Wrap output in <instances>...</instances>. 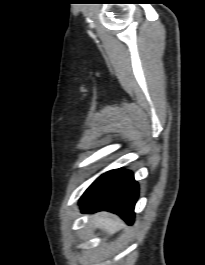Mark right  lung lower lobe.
<instances>
[{"label":"right lung lower lobe","mask_w":205,"mask_h":265,"mask_svg":"<svg viewBox=\"0 0 205 265\" xmlns=\"http://www.w3.org/2000/svg\"><path fill=\"white\" fill-rule=\"evenodd\" d=\"M138 191L132 172L111 170L98 177L84 192L79 201L80 209L84 213L110 211L132 224Z\"/></svg>","instance_id":"98d812e1"}]
</instances>
